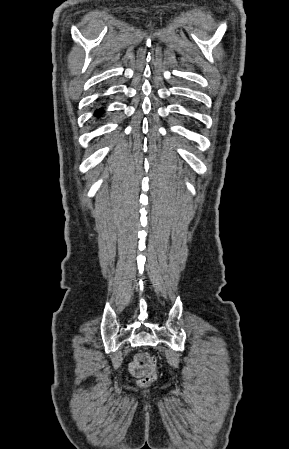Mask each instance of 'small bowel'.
I'll use <instances>...</instances> for the list:
<instances>
[{
	"label": "small bowel",
	"instance_id": "1",
	"mask_svg": "<svg viewBox=\"0 0 289 449\" xmlns=\"http://www.w3.org/2000/svg\"><path fill=\"white\" fill-rule=\"evenodd\" d=\"M146 357V353H136L133 356L128 368L134 377L140 378L151 370Z\"/></svg>",
	"mask_w": 289,
	"mask_h": 449
}]
</instances>
